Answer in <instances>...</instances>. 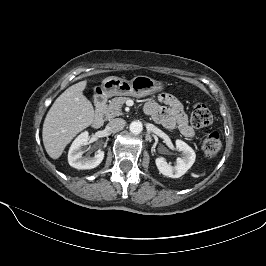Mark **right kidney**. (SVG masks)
Masks as SVG:
<instances>
[{
  "instance_id": "1",
  "label": "right kidney",
  "mask_w": 266,
  "mask_h": 266,
  "mask_svg": "<svg viewBox=\"0 0 266 266\" xmlns=\"http://www.w3.org/2000/svg\"><path fill=\"white\" fill-rule=\"evenodd\" d=\"M89 134L87 131L81 133L71 144L68 152V162L76 169H93L97 167L104 158V151L100 150L94 157H82L83 147L88 145Z\"/></svg>"
}]
</instances>
